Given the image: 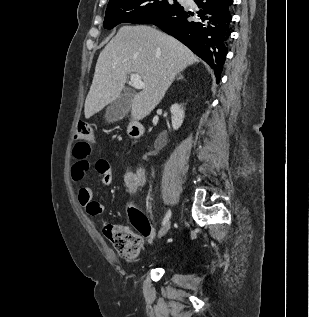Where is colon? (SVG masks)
Here are the masks:
<instances>
[{
  "label": "colon",
  "instance_id": "5ec220e1",
  "mask_svg": "<svg viewBox=\"0 0 309 317\" xmlns=\"http://www.w3.org/2000/svg\"><path fill=\"white\" fill-rule=\"evenodd\" d=\"M76 137L80 142L74 150L84 149L90 151L94 142L93 130L89 124L80 122L77 126ZM131 225H109L105 234L118 254L127 261L135 260L142 249V237L152 238L154 229L148 218L136 209H130Z\"/></svg>",
  "mask_w": 309,
  "mask_h": 317
}]
</instances>
